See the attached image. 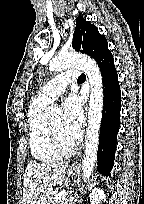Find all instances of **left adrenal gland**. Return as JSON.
<instances>
[{
	"label": "left adrenal gland",
	"mask_w": 144,
	"mask_h": 204,
	"mask_svg": "<svg viewBox=\"0 0 144 204\" xmlns=\"http://www.w3.org/2000/svg\"><path fill=\"white\" fill-rule=\"evenodd\" d=\"M77 199H78V196H77V195H75L74 202H76V201H77Z\"/></svg>",
	"instance_id": "left-adrenal-gland-1"
}]
</instances>
